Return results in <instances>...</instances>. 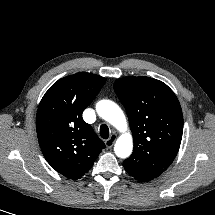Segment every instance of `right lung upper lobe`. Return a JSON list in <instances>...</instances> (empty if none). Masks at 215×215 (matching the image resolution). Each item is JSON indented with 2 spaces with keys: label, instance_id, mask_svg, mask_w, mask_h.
Returning a JSON list of instances; mask_svg holds the SVG:
<instances>
[{
  "label": "right lung upper lobe",
  "instance_id": "cb5924a9",
  "mask_svg": "<svg viewBox=\"0 0 215 215\" xmlns=\"http://www.w3.org/2000/svg\"><path fill=\"white\" fill-rule=\"evenodd\" d=\"M106 79L80 72L55 82L43 96L37 111L36 129L47 162L70 179L83 176L105 148L83 118V110Z\"/></svg>",
  "mask_w": 215,
  "mask_h": 215
}]
</instances>
